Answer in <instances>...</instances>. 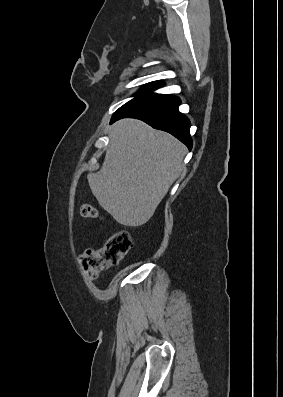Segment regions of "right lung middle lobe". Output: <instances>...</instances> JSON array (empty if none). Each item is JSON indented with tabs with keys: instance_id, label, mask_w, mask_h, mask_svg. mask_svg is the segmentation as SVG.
I'll use <instances>...</instances> for the list:
<instances>
[{
	"instance_id": "dd1d6c3e",
	"label": "right lung middle lobe",
	"mask_w": 283,
	"mask_h": 397,
	"mask_svg": "<svg viewBox=\"0 0 283 397\" xmlns=\"http://www.w3.org/2000/svg\"><path fill=\"white\" fill-rule=\"evenodd\" d=\"M163 82L158 81V82H152L149 83L145 86L142 87V89L135 94V98H133L132 100H130L129 102H127L126 104H124L122 107H120L115 113L114 115H116L117 113H119L120 111H122L123 109H125L126 107L144 99L147 98L151 95H154L155 93H152V91H154L155 89H157L158 87L162 86ZM113 115V116H114Z\"/></svg>"
}]
</instances>
